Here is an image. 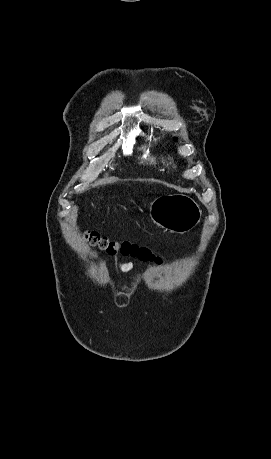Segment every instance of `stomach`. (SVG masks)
<instances>
[{"instance_id":"stomach-1","label":"stomach","mask_w":271,"mask_h":459,"mask_svg":"<svg viewBox=\"0 0 271 459\" xmlns=\"http://www.w3.org/2000/svg\"><path fill=\"white\" fill-rule=\"evenodd\" d=\"M202 212L191 198L181 194L160 196L150 204V218L160 228L172 233H186L195 228L201 220Z\"/></svg>"}]
</instances>
